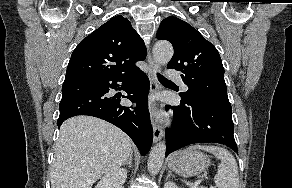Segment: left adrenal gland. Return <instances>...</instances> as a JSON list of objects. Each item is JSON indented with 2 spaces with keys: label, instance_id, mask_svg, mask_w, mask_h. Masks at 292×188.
<instances>
[{
  "label": "left adrenal gland",
  "instance_id": "1",
  "mask_svg": "<svg viewBox=\"0 0 292 188\" xmlns=\"http://www.w3.org/2000/svg\"><path fill=\"white\" fill-rule=\"evenodd\" d=\"M172 175L171 171H168V174L166 176V180L168 179V177H170Z\"/></svg>",
  "mask_w": 292,
  "mask_h": 188
}]
</instances>
